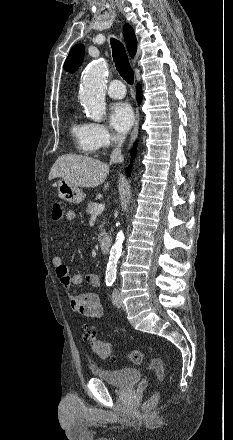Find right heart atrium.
<instances>
[{"mask_svg": "<svg viewBox=\"0 0 233 440\" xmlns=\"http://www.w3.org/2000/svg\"><path fill=\"white\" fill-rule=\"evenodd\" d=\"M89 139L94 152H100L121 140L120 136L101 123H88Z\"/></svg>", "mask_w": 233, "mask_h": 440, "instance_id": "right-heart-atrium-1", "label": "right heart atrium"}]
</instances>
